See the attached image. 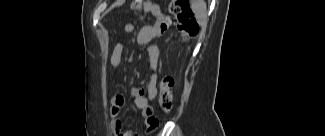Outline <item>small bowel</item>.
<instances>
[{
	"label": "small bowel",
	"mask_w": 325,
	"mask_h": 136,
	"mask_svg": "<svg viewBox=\"0 0 325 136\" xmlns=\"http://www.w3.org/2000/svg\"><path fill=\"white\" fill-rule=\"evenodd\" d=\"M165 30L164 24L158 23L152 26L142 27L136 37V42L139 46H147V56L149 67L152 71L150 80L146 86L135 87L131 89L130 96L133 98L134 105L142 112L145 121V126L148 132L154 131L158 127V120L153 115V108L150 103L155 98L157 93V67L159 59V48L149 43L161 36ZM126 35L135 32V25L132 23L126 24L123 28ZM125 52V45L122 41H117L114 44L113 52L110 57V63L113 67H119L122 61V56ZM125 103V95L122 93L115 94L111 98L110 113L112 117H117L121 107ZM112 130L117 136H137L139 132L135 129L124 130L120 120L114 119L112 122Z\"/></svg>",
	"instance_id": "small-bowel-1"
}]
</instances>
